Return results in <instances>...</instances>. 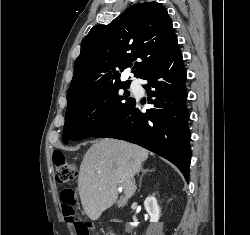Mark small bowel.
Here are the masks:
<instances>
[{
	"label": "small bowel",
	"instance_id": "c3829d8e",
	"mask_svg": "<svg viewBox=\"0 0 250 235\" xmlns=\"http://www.w3.org/2000/svg\"><path fill=\"white\" fill-rule=\"evenodd\" d=\"M106 235H116V234H115V233L110 232V233H107Z\"/></svg>",
	"mask_w": 250,
	"mask_h": 235
}]
</instances>
